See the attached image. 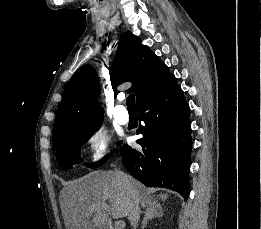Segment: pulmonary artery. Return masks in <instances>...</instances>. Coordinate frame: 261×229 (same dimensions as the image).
<instances>
[{
	"label": "pulmonary artery",
	"instance_id": "e3ab8cb5",
	"mask_svg": "<svg viewBox=\"0 0 261 229\" xmlns=\"http://www.w3.org/2000/svg\"><path fill=\"white\" fill-rule=\"evenodd\" d=\"M119 99L121 100V97H119ZM115 118L118 122L120 123H126L129 120V114L128 111L126 110V108L121 105L118 104L115 108Z\"/></svg>",
	"mask_w": 261,
	"mask_h": 229
}]
</instances>
